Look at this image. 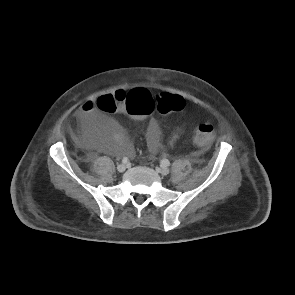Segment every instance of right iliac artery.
Wrapping results in <instances>:
<instances>
[{"instance_id":"1","label":"right iliac artery","mask_w":295,"mask_h":295,"mask_svg":"<svg viewBox=\"0 0 295 295\" xmlns=\"http://www.w3.org/2000/svg\"><path fill=\"white\" fill-rule=\"evenodd\" d=\"M122 162H123L124 164L128 163V158H127V157H124V158L122 159Z\"/></svg>"}]
</instances>
